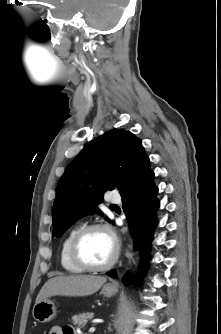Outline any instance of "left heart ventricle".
<instances>
[{
	"label": "left heart ventricle",
	"mask_w": 221,
	"mask_h": 334,
	"mask_svg": "<svg viewBox=\"0 0 221 334\" xmlns=\"http://www.w3.org/2000/svg\"><path fill=\"white\" fill-rule=\"evenodd\" d=\"M112 237L104 230H94L85 235L80 244V254L92 265L108 262L114 254Z\"/></svg>",
	"instance_id": "b2bd125f"
}]
</instances>
